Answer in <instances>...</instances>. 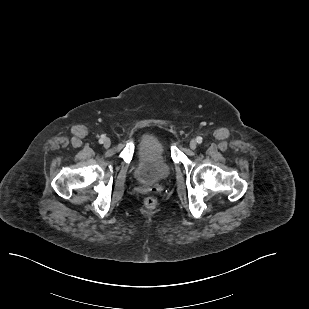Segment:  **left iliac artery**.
Here are the masks:
<instances>
[{"instance_id":"44dca946","label":"left iliac artery","mask_w":309,"mask_h":309,"mask_svg":"<svg viewBox=\"0 0 309 309\" xmlns=\"http://www.w3.org/2000/svg\"><path fill=\"white\" fill-rule=\"evenodd\" d=\"M202 137H200V136H198L197 138H196V141L200 144V143H202Z\"/></svg>"}]
</instances>
